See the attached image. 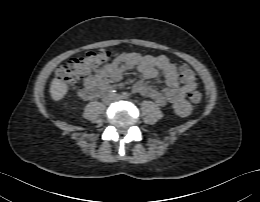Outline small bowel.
Returning <instances> with one entry per match:
<instances>
[{"label":"small bowel","instance_id":"small-bowel-1","mask_svg":"<svg viewBox=\"0 0 260 202\" xmlns=\"http://www.w3.org/2000/svg\"><path fill=\"white\" fill-rule=\"evenodd\" d=\"M129 69H137L143 79H154L162 72L167 86L164 90L159 91L143 81H137L132 87L133 92L152 99L159 106L171 104L180 116L190 114L191 108L185 101V96L195 90L197 85L194 81L180 84L175 64L165 55L121 54L87 78L86 87L108 85L111 80L118 79L124 70Z\"/></svg>","mask_w":260,"mask_h":202}]
</instances>
